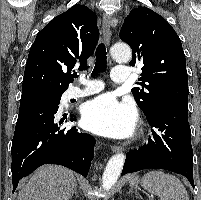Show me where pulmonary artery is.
I'll list each match as a JSON object with an SVG mask.
<instances>
[{
  "mask_svg": "<svg viewBox=\"0 0 201 200\" xmlns=\"http://www.w3.org/2000/svg\"><path fill=\"white\" fill-rule=\"evenodd\" d=\"M129 68L124 65H118L114 68L111 75L112 80L115 83H124L127 81L129 76ZM85 87L78 88L73 87L67 91L68 98H79L97 93L103 89V86L98 81L84 80Z\"/></svg>",
  "mask_w": 201,
  "mask_h": 200,
  "instance_id": "obj_1",
  "label": "pulmonary artery"
}]
</instances>
